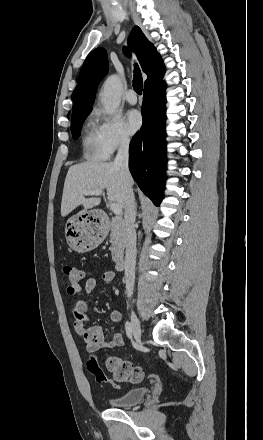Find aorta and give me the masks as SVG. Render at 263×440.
I'll return each instance as SVG.
<instances>
[{"label":"aorta","instance_id":"1","mask_svg":"<svg viewBox=\"0 0 263 440\" xmlns=\"http://www.w3.org/2000/svg\"><path fill=\"white\" fill-rule=\"evenodd\" d=\"M122 93V82L117 75H111L106 79L100 91L99 97L108 114H113L119 107Z\"/></svg>","mask_w":263,"mask_h":440}]
</instances>
